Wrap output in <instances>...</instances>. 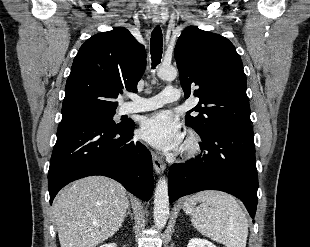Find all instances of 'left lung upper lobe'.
Segmentation results:
<instances>
[{
  "label": "left lung upper lobe",
  "mask_w": 310,
  "mask_h": 247,
  "mask_svg": "<svg viewBox=\"0 0 310 247\" xmlns=\"http://www.w3.org/2000/svg\"><path fill=\"white\" fill-rule=\"evenodd\" d=\"M174 52L185 97L193 94L200 98L185 121L201 138L225 126H251L246 75L227 38L189 26L178 38Z\"/></svg>",
  "instance_id": "1"
}]
</instances>
